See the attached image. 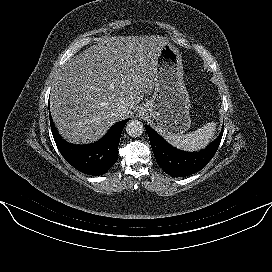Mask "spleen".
<instances>
[{"label":"spleen","instance_id":"3e777b00","mask_svg":"<svg viewBox=\"0 0 272 272\" xmlns=\"http://www.w3.org/2000/svg\"><path fill=\"white\" fill-rule=\"evenodd\" d=\"M215 130V123L209 122L191 133L185 135L167 134L165 138L170 144L177 148L195 151L209 144L215 134Z\"/></svg>","mask_w":272,"mask_h":272}]
</instances>
